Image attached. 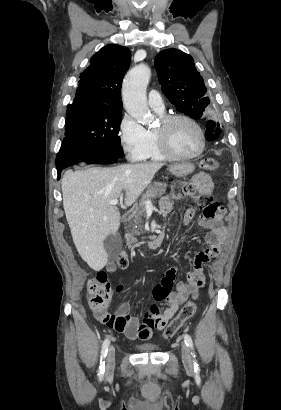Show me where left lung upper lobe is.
<instances>
[{
	"label": "left lung upper lobe",
	"instance_id": "5c2ea615",
	"mask_svg": "<svg viewBox=\"0 0 281 410\" xmlns=\"http://www.w3.org/2000/svg\"><path fill=\"white\" fill-rule=\"evenodd\" d=\"M155 66L162 91L176 109L193 119H206L210 101L193 58L180 50L166 49L157 54ZM220 132L216 130L212 136Z\"/></svg>",
	"mask_w": 281,
	"mask_h": 410
}]
</instances>
